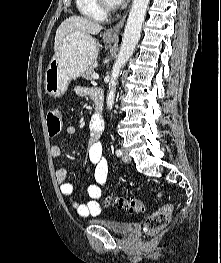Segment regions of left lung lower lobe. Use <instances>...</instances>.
Returning <instances> with one entry per match:
<instances>
[{
	"label": "left lung lower lobe",
	"instance_id": "left-lung-lower-lobe-1",
	"mask_svg": "<svg viewBox=\"0 0 221 263\" xmlns=\"http://www.w3.org/2000/svg\"><path fill=\"white\" fill-rule=\"evenodd\" d=\"M119 41H121V36L119 37Z\"/></svg>",
	"mask_w": 221,
	"mask_h": 263
}]
</instances>
